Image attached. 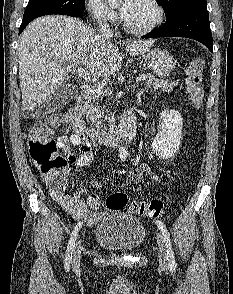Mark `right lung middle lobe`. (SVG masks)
<instances>
[{"mask_svg": "<svg viewBox=\"0 0 233 294\" xmlns=\"http://www.w3.org/2000/svg\"><path fill=\"white\" fill-rule=\"evenodd\" d=\"M85 9V0H29L22 23L50 14L81 16Z\"/></svg>", "mask_w": 233, "mask_h": 294, "instance_id": "dd1d6c3e", "label": "right lung middle lobe"}]
</instances>
